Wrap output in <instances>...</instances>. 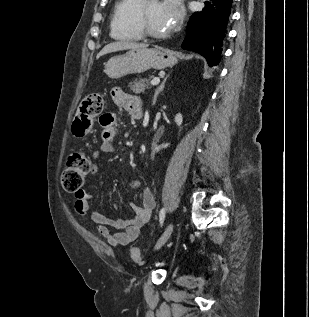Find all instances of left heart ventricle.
<instances>
[{
    "label": "left heart ventricle",
    "instance_id": "1",
    "mask_svg": "<svg viewBox=\"0 0 309 317\" xmlns=\"http://www.w3.org/2000/svg\"><path fill=\"white\" fill-rule=\"evenodd\" d=\"M148 26L157 33L168 32L171 28L162 11L161 3L152 2L145 5Z\"/></svg>",
    "mask_w": 309,
    "mask_h": 317
}]
</instances>
